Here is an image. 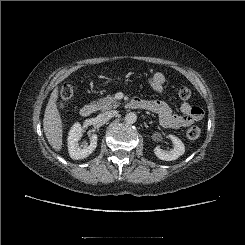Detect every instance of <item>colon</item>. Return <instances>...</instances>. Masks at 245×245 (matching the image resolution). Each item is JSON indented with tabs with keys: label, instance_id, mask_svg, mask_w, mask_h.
<instances>
[{
	"label": "colon",
	"instance_id": "colon-1",
	"mask_svg": "<svg viewBox=\"0 0 245 245\" xmlns=\"http://www.w3.org/2000/svg\"><path fill=\"white\" fill-rule=\"evenodd\" d=\"M178 94L181 99H188L191 96V91L187 87H181L179 89ZM74 96H75L74 85L72 83H65L60 90L59 107L63 109L66 106H68L72 102ZM200 134H201V130L198 127H191L187 131V137L191 140H195L199 138Z\"/></svg>",
	"mask_w": 245,
	"mask_h": 245
}]
</instances>
